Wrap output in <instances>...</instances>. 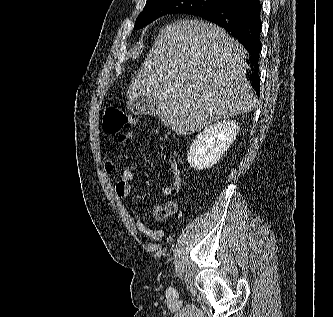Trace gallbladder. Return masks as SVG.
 <instances>
[{"instance_id":"obj_1","label":"gallbladder","mask_w":333,"mask_h":317,"mask_svg":"<svg viewBox=\"0 0 333 317\" xmlns=\"http://www.w3.org/2000/svg\"><path fill=\"white\" fill-rule=\"evenodd\" d=\"M159 105L160 101L154 97H140L127 101L128 109L137 115H155Z\"/></svg>"}]
</instances>
